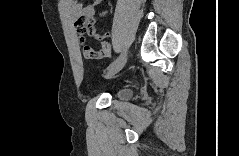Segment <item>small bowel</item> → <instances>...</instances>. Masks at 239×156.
<instances>
[{"label": "small bowel", "mask_w": 239, "mask_h": 156, "mask_svg": "<svg viewBox=\"0 0 239 156\" xmlns=\"http://www.w3.org/2000/svg\"><path fill=\"white\" fill-rule=\"evenodd\" d=\"M98 1L87 7H83L79 2L70 1L68 10L73 16L74 25L77 29L79 39L84 43V34L78 31V27L83 24L86 32L90 36H96V28L94 22L95 7ZM85 55L91 59H102L108 57L111 54L110 46L107 42H101L97 51L90 49L85 45Z\"/></svg>", "instance_id": "obj_1"}]
</instances>
